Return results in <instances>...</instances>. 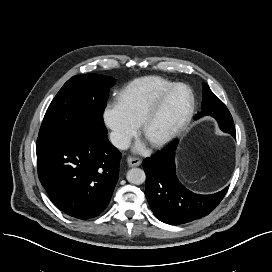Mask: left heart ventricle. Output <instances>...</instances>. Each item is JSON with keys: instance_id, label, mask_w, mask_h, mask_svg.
<instances>
[{"instance_id": "left-heart-ventricle-1", "label": "left heart ventricle", "mask_w": 272, "mask_h": 272, "mask_svg": "<svg viewBox=\"0 0 272 272\" xmlns=\"http://www.w3.org/2000/svg\"><path fill=\"white\" fill-rule=\"evenodd\" d=\"M187 100L186 92L178 90L152 122L148 131V137L161 135L173 128L181 119L187 105Z\"/></svg>"}]
</instances>
